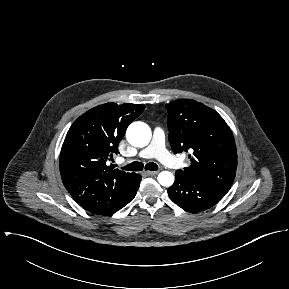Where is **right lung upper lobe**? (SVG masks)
I'll return each mask as SVG.
<instances>
[{
  "label": "right lung upper lobe",
  "mask_w": 289,
  "mask_h": 289,
  "mask_svg": "<svg viewBox=\"0 0 289 289\" xmlns=\"http://www.w3.org/2000/svg\"><path fill=\"white\" fill-rule=\"evenodd\" d=\"M144 108L106 103L88 110L70 127L61 148L60 174L67 191L88 211L103 214L131 191L135 173L113 170L106 161L119 153L127 127Z\"/></svg>",
  "instance_id": "cb5924a9"
}]
</instances>
